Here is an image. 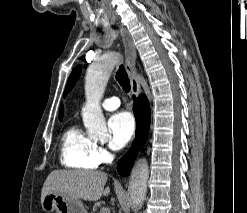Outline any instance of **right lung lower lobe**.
Returning a JSON list of instances; mask_svg holds the SVG:
<instances>
[{"mask_svg":"<svg viewBox=\"0 0 247 213\" xmlns=\"http://www.w3.org/2000/svg\"><path fill=\"white\" fill-rule=\"evenodd\" d=\"M135 103L133 106L136 117V138L132 150L135 153L140 150L146 141L149 126H150V108L149 103L144 95H140L137 99L134 97ZM134 155L130 161V153H126L117 165V170L122 176H127L134 160Z\"/></svg>","mask_w":247,"mask_h":213,"instance_id":"98d812e1","label":"right lung lower lobe"}]
</instances>
